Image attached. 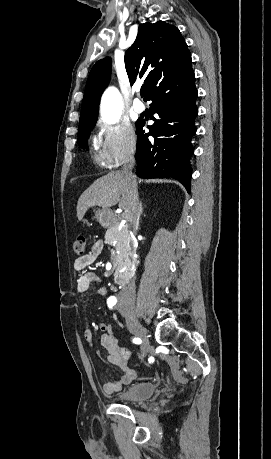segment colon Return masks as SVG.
Listing matches in <instances>:
<instances>
[{
	"label": "colon",
	"instance_id": "colon-1",
	"mask_svg": "<svg viewBox=\"0 0 271 459\" xmlns=\"http://www.w3.org/2000/svg\"><path fill=\"white\" fill-rule=\"evenodd\" d=\"M85 247H86V238L84 236L80 235L72 243V252L75 255L82 256V255H84ZM121 353H122V355L124 357H128L129 356V351L127 349H123L121 351Z\"/></svg>",
	"mask_w": 271,
	"mask_h": 459
}]
</instances>
